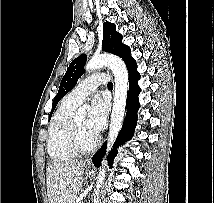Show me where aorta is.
<instances>
[{
  "label": "aorta",
  "mask_w": 214,
  "mask_h": 203,
  "mask_svg": "<svg viewBox=\"0 0 214 203\" xmlns=\"http://www.w3.org/2000/svg\"><path fill=\"white\" fill-rule=\"evenodd\" d=\"M108 67L111 69L115 77V94L114 103L111 114V120L108 133V146L105 159L102 161V165L99 170V175L96 181V189L94 190L93 203L99 202L100 188L104 182L105 173L107 169V154L111 150V147L120 131L126 107V96L128 90V71L123 60L115 55L102 54L93 56L85 66L86 71L97 70L102 67ZM86 116V110L84 107H80L74 114V118H84Z\"/></svg>",
  "instance_id": "aorta-1"
}]
</instances>
